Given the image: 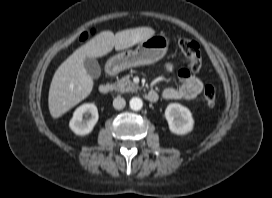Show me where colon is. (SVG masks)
<instances>
[{"mask_svg":"<svg viewBox=\"0 0 272 198\" xmlns=\"http://www.w3.org/2000/svg\"><path fill=\"white\" fill-rule=\"evenodd\" d=\"M88 36V34H84L81 39L86 40ZM178 45L183 55L186 57L189 72H198L202 65V56L198 43L186 38H180ZM202 99L204 104L208 107L215 104L216 90L212 85H206L204 87Z\"/></svg>","mask_w":272,"mask_h":198,"instance_id":"obj_1","label":"colon"}]
</instances>
